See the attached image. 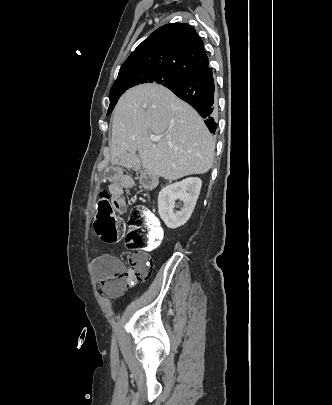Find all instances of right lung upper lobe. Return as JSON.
<instances>
[{
    "instance_id": "1",
    "label": "right lung upper lobe",
    "mask_w": 332,
    "mask_h": 405,
    "mask_svg": "<svg viewBox=\"0 0 332 405\" xmlns=\"http://www.w3.org/2000/svg\"><path fill=\"white\" fill-rule=\"evenodd\" d=\"M209 65L204 45L195 29L185 23H171L154 31L127 58L119 70H153L188 76Z\"/></svg>"
}]
</instances>
